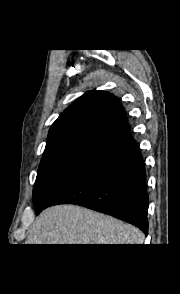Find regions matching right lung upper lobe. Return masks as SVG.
I'll return each mask as SVG.
<instances>
[{
    "label": "right lung upper lobe",
    "instance_id": "right-lung-upper-lobe-1",
    "mask_svg": "<svg viewBox=\"0 0 180 294\" xmlns=\"http://www.w3.org/2000/svg\"><path fill=\"white\" fill-rule=\"evenodd\" d=\"M126 122V113L113 94L92 91L76 100L53 123L45 149L76 140L100 143Z\"/></svg>",
    "mask_w": 180,
    "mask_h": 294
}]
</instances>
